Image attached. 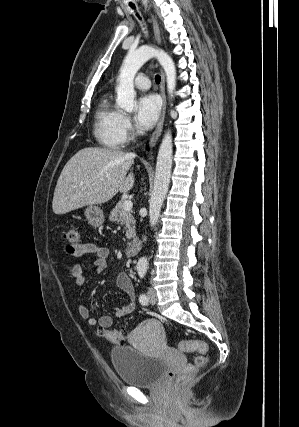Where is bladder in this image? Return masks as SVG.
I'll use <instances>...</instances> for the list:
<instances>
[{
    "mask_svg": "<svg viewBox=\"0 0 299 427\" xmlns=\"http://www.w3.org/2000/svg\"><path fill=\"white\" fill-rule=\"evenodd\" d=\"M110 357L119 379L136 387L156 386L166 373L163 360L146 355L131 345L112 348Z\"/></svg>",
    "mask_w": 299,
    "mask_h": 427,
    "instance_id": "obj_1",
    "label": "bladder"
}]
</instances>
